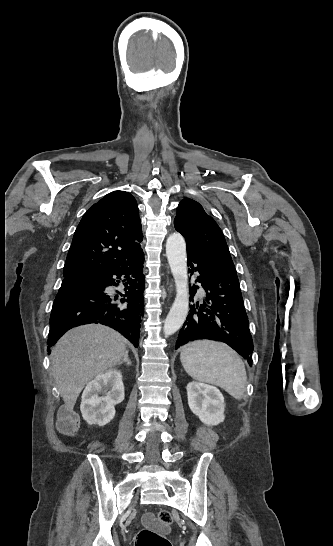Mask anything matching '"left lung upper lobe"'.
Here are the masks:
<instances>
[{
	"label": "left lung upper lobe",
	"instance_id": "obj_1",
	"mask_svg": "<svg viewBox=\"0 0 333 546\" xmlns=\"http://www.w3.org/2000/svg\"><path fill=\"white\" fill-rule=\"evenodd\" d=\"M174 225L186 245L197 253L221 265L234 266L220 227L198 202L183 199L177 207Z\"/></svg>",
	"mask_w": 333,
	"mask_h": 546
}]
</instances>
